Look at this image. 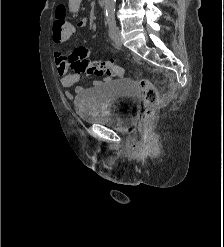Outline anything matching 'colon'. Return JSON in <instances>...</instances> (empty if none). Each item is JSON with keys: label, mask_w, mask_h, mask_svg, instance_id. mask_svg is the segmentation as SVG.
<instances>
[{"label": "colon", "mask_w": 224, "mask_h": 247, "mask_svg": "<svg viewBox=\"0 0 224 247\" xmlns=\"http://www.w3.org/2000/svg\"><path fill=\"white\" fill-rule=\"evenodd\" d=\"M75 33L74 25L67 17L65 6L59 5L53 22V37L69 41L75 36ZM88 54L89 50L86 47H79L70 54L69 66L75 73L95 76H122L123 70L119 66L110 61H91L88 59ZM139 86L145 107L142 116V125L144 126L152 119L159 97L157 89L149 80L142 79Z\"/></svg>", "instance_id": "5ec220e1"}]
</instances>
